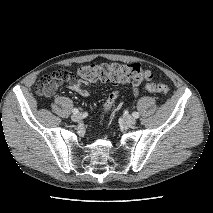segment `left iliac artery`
Masks as SVG:
<instances>
[{"label": "left iliac artery", "instance_id": "44dca946", "mask_svg": "<svg viewBox=\"0 0 213 213\" xmlns=\"http://www.w3.org/2000/svg\"><path fill=\"white\" fill-rule=\"evenodd\" d=\"M132 115H133L134 118H139V113L138 112H133Z\"/></svg>", "mask_w": 213, "mask_h": 213}]
</instances>
